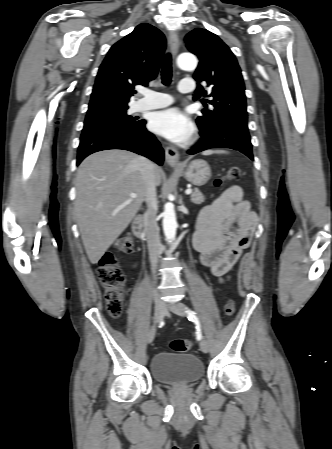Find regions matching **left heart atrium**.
<instances>
[{
    "label": "left heart atrium",
    "instance_id": "obj_1",
    "mask_svg": "<svg viewBox=\"0 0 332 449\" xmlns=\"http://www.w3.org/2000/svg\"><path fill=\"white\" fill-rule=\"evenodd\" d=\"M150 129L175 142H183L192 133V123L177 108L156 112L149 123Z\"/></svg>",
    "mask_w": 332,
    "mask_h": 449
}]
</instances>
